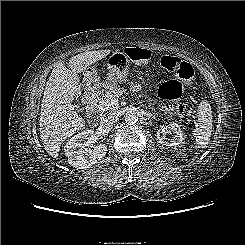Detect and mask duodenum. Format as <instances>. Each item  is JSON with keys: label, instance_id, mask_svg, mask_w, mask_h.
Here are the masks:
<instances>
[{"label": "duodenum", "instance_id": "duodenum-1", "mask_svg": "<svg viewBox=\"0 0 245 245\" xmlns=\"http://www.w3.org/2000/svg\"><path fill=\"white\" fill-rule=\"evenodd\" d=\"M105 92V87L103 85L95 86L91 91L87 92L85 95L86 102L90 105V120L91 122H97L99 118L98 110L93 106L95 101H97Z\"/></svg>", "mask_w": 245, "mask_h": 245}]
</instances>
